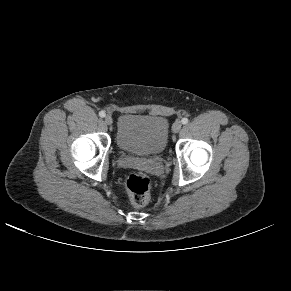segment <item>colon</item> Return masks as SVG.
Returning a JSON list of instances; mask_svg holds the SVG:
<instances>
[{
  "label": "colon",
  "instance_id": "1",
  "mask_svg": "<svg viewBox=\"0 0 291 291\" xmlns=\"http://www.w3.org/2000/svg\"><path fill=\"white\" fill-rule=\"evenodd\" d=\"M125 188L130 201L136 206H143L150 199L151 180L144 174H129L126 178Z\"/></svg>",
  "mask_w": 291,
  "mask_h": 291
}]
</instances>
